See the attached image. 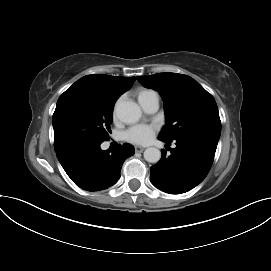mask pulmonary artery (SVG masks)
<instances>
[{
  "instance_id": "obj_1",
  "label": "pulmonary artery",
  "mask_w": 271,
  "mask_h": 271,
  "mask_svg": "<svg viewBox=\"0 0 271 271\" xmlns=\"http://www.w3.org/2000/svg\"><path fill=\"white\" fill-rule=\"evenodd\" d=\"M147 113H155L159 108V98L155 92H152L149 97L141 104Z\"/></svg>"
}]
</instances>
